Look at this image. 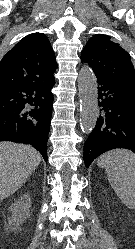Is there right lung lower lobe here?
<instances>
[{"instance_id": "right-lung-lower-lobe-1", "label": "right lung lower lobe", "mask_w": 135, "mask_h": 249, "mask_svg": "<svg viewBox=\"0 0 135 249\" xmlns=\"http://www.w3.org/2000/svg\"><path fill=\"white\" fill-rule=\"evenodd\" d=\"M55 79L0 88V141L35 147L47 162Z\"/></svg>"}]
</instances>
